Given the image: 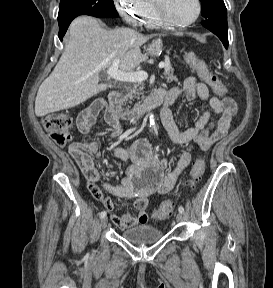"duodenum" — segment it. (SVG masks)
Returning <instances> with one entry per match:
<instances>
[{
  "mask_svg": "<svg viewBox=\"0 0 273 288\" xmlns=\"http://www.w3.org/2000/svg\"><path fill=\"white\" fill-rule=\"evenodd\" d=\"M160 104H163L161 120L165 123L170 117L167 111L170 102L168 101L167 94L164 90L154 91L145 101L129 110L122 109L119 92L117 90H112L108 94L106 114L114 119L133 122L144 117L152 106Z\"/></svg>",
  "mask_w": 273,
  "mask_h": 288,
  "instance_id": "duodenum-1",
  "label": "duodenum"
}]
</instances>
